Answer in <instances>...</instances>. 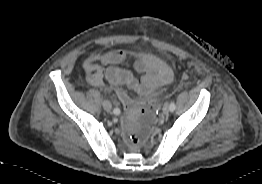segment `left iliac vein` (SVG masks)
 <instances>
[{
    "instance_id": "obj_1",
    "label": "left iliac vein",
    "mask_w": 262,
    "mask_h": 184,
    "mask_svg": "<svg viewBox=\"0 0 262 184\" xmlns=\"http://www.w3.org/2000/svg\"><path fill=\"white\" fill-rule=\"evenodd\" d=\"M170 111L168 104H165L162 108V114L167 115Z\"/></svg>"
}]
</instances>
